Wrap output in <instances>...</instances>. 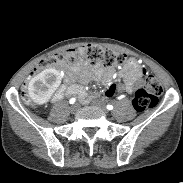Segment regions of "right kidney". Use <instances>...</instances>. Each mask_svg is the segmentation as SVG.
<instances>
[{"label": "right kidney", "instance_id": "1", "mask_svg": "<svg viewBox=\"0 0 183 183\" xmlns=\"http://www.w3.org/2000/svg\"><path fill=\"white\" fill-rule=\"evenodd\" d=\"M60 84V73L56 69H45L29 82V96L37 105L49 101L52 93Z\"/></svg>", "mask_w": 183, "mask_h": 183}]
</instances>
